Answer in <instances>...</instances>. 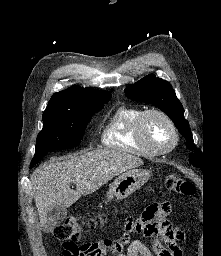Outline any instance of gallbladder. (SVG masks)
I'll use <instances>...</instances> for the list:
<instances>
[{"label": "gallbladder", "mask_w": 221, "mask_h": 256, "mask_svg": "<svg viewBox=\"0 0 221 256\" xmlns=\"http://www.w3.org/2000/svg\"><path fill=\"white\" fill-rule=\"evenodd\" d=\"M67 216V209L60 206H54L48 211L47 222L44 226L45 232H52L56 225L62 223Z\"/></svg>", "instance_id": "obj_1"}]
</instances>
